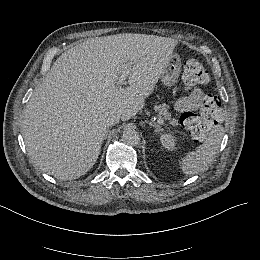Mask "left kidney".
Listing matches in <instances>:
<instances>
[{"instance_id":"left-kidney-1","label":"left kidney","mask_w":260,"mask_h":260,"mask_svg":"<svg viewBox=\"0 0 260 260\" xmlns=\"http://www.w3.org/2000/svg\"><path fill=\"white\" fill-rule=\"evenodd\" d=\"M160 142L166 148H171L174 145V141L170 135H163Z\"/></svg>"}]
</instances>
